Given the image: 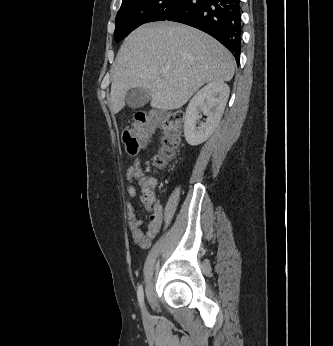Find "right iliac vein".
Segmentation results:
<instances>
[{
  "label": "right iliac vein",
  "mask_w": 333,
  "mask_h": 346,
  "mask_svg": "<svg viewBox=\"0 0 333 346\" xmlns=\"http://www.w3.org/2000/svg\"><path fill=\"white\" fill-rule=\"evenodd\" d=\"M143 318H144L145 323L148 324L149 323V313L146 309H144V311H143Z\"/></svg>",
  "instance_id": "obj_1"
}]
</instances>
